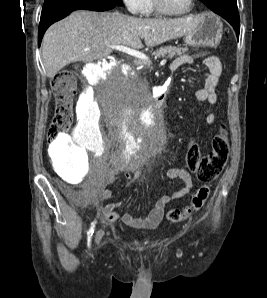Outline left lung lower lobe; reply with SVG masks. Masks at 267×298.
<instances>
[{
  "label": "left lung lower lobe",
  "mask_w": 267,
  "mask_h": 298,
  "mask_svg": "<svg viewBox=\"0 0 267 298\" xmlns=\"http://www.w3.org/2000/svg\"><path fill=\"white\" fill-rule=\"evenodd\" d=\"M218 15L222 16L233 26L234 30L236 31L237 37H239L240 18L238 14V9H233V10H230L229 12H226L224 14H218Z\"/></svg>",
  "instance_id": "obj_1"
}]
</instances>
